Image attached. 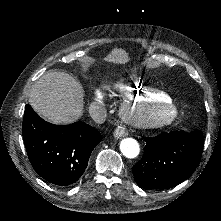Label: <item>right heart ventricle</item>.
Here are the masks:
<instances>
[{
	"mask_svg": "<svg viewBox=\"0 0 221 221\" xmlns=\"http://www.w3.org/2000/svg\"><path fill=\"white\" fill-rule=\"evenodd\" d=\"M118 91L120 93L119 98L123 102L128 101L130 98L133 102L164 103L170 101L172 98L170 92L163 90L156 92L154 86L148 83L141 84L136 78L131 80L128 78L123 79L118 85Z\"/></svg>",
	"mask_w": 221,
	"mask_h": 221,
	"instance_id": "1",
	"label": "right heart ventricle"
}]
</instances>
